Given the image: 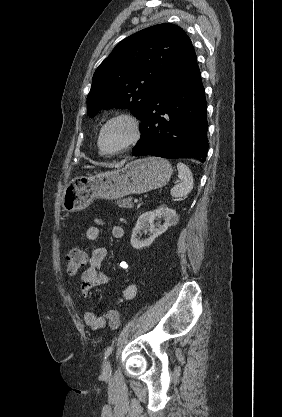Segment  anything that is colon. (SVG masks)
I'll return each mask as SVG.
<instances>
[{
    "label": "colon",
    "mask_w": 282,
    "mask_h": 417,
    "mask_svg": "<svg viewBox=\"0 0 282 417\" xmlns=\"http://www.w3.org/2000/svg\"><path fill=\"white\" fill-rule=\"evenodd\" d=\"M87 257L85 253L78 248L70 250L65 255V265L70 274L75 275L86 264ZM106 319L111 327H117L120 324V316L116 310H108Z\"/></svg>",
    "instance_id": "colon-1"
}]
</instances>
